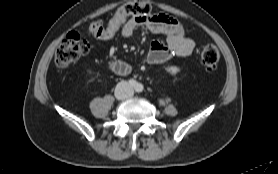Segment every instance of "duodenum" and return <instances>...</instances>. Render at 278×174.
<instances>
[{
	"label": "duodenum",
	"mask_w": 278,
	"mask_h": 174,
	"mask_svg": "<svg viewBox=\"0 0 278 174\" xmlns=\"http://www.w3.org/2000/svg\"><path fill=\"white\" fill-rule=\"evenodd\" d=\"M111 68L118 74H125L128 72L129 67L126 63L121 61H114L111 63Z\"/></svg>",
	"instance_id": "410a0bca"
}]
</instances>
